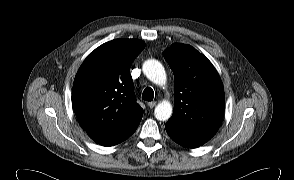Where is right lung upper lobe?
Wrapping results in <instances>:
<instances>
[{
  "label": "right lung upper lobe",
  "mask_w": 294,
  "mask_h": 180,
  "mask_svg": "<svg viewBox=\"0 0 294 180\" xmlns=\"http://www.w3.org/2000/svg\"><path fill=\"white\" fill-rule=\"evenodd\" d=\"M144 47L138 39H115L92 51L79 68L72 105L80 126L94 141L121 133L143 115L130 67Z\"/></svg>",
  "instance_id": "1"
}]
</instances>
